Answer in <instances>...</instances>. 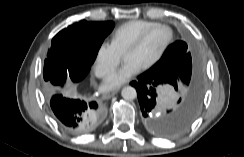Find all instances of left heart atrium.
<instances>
[{
  "label": "left heart atrium",
  "mask_w": 244,
  "mask_h": 157,
  "mask_svg": "<svg viewBox=\"0 0 244 157\" xmlns=\"http://www.w3.org/2000/svg\"><path fill=\"white\" fill-rule=\"evenodd\" d=\"M140 69V66L135 62L126 60L116 72L106 79L104 82V88L106 90H112L120 87L136 75Z\"/></svg>",
  "instance_id": "left-heart-atrium-1"
}]
</instances>
